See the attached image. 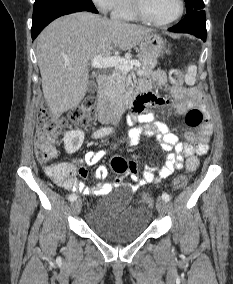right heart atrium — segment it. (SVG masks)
<instances>
[{"instance_id":"d8ad5b80","label":"right heart atrium","mask_w":233,"mask_h":284,"mask_svg":"<svg viewBox=\"0 0 233 284\" xmlns=\"http://www.w3.org/2000/svg\"><path fill=\"white\" fill-rule=\"evenodd\" d=\"M118 0H92L95 6L102 12L112 11Z\"/></svg>"}]
</instances>
